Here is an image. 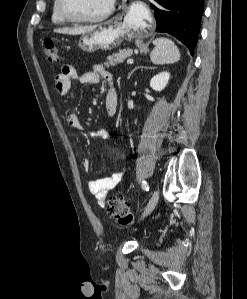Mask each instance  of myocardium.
<instances>
[{"label": "myocardium", "mask_w": 247, "mask_h": 299, "mask_svg": "<svg viewBox=\"0 0 247 299\" xmlns=\"http://www.w3.org/2000/svg\"><path fill=\"white\" fill-rule=\"evenodd\" d=\"M115 7V0H112L109 7L101 14L93 17H79L71 14L66 6V0H58V10L61 16L68 22L73 23H97L108 18Z\"/></svg>", "instance_id": "1"}]
</instances>
